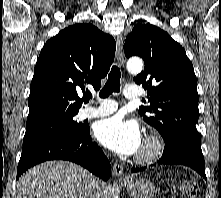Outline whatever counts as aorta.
<instances>
[{
  "label": "aorta",
  "instance_id": "aorta-1",
  "mask_svg": "<svg viewBox=\"0 0 221 198\" xmlns=\"http://www.w3.org/2000/svg\"><path fill=\"white\" fill-rule=\"evenodd\" d=\"M142 60L139 58H132L127 62V69L131 73H138L142 70Z\"/></svg>",
  "mask_w": 221,
  "mask_h": 198
}]
</instances>
